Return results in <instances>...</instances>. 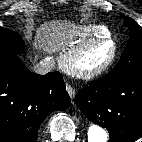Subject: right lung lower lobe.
Returning <instances> with one entry per match:
<instances>
[{
    "mask_svg": "<svg viewBox=\"0 0 142 142\" xmlns=\"http://www.w3.org/2000/svg\"><path fill=\"white\" fill-rule=\"evenodd\" d=\"M69 105L60 73L37 75L17 56L0 57V142H36L42 121Z\"/></svg>",
    "mask_w": 142,
    "mask_h": 142,
    "instance_id": "obj_1",
    "label": "right lung lower lobe"
}]
</instances>
